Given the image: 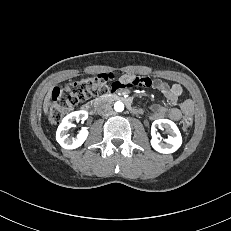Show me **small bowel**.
Masks as SVG:
<instances>
[{"instance_id": "1", "label": "small bowel", "mask_w": 231, "mask_h": 231, "mask_svg": "<svg viewBox=\"0 0 231 231\" xmlns=\"http://www.w3.org/2000/svg\"><path fill=\"white\" fill-rule=\"evenodd\" d=\"M152 85V80L149 77L133 76L131 74H124L119 80H116V89L131 87L149 88ZM153 87L163 93L166 100L173 107L168 108L164 104H153L151 106L150 118L153 120L161 119L168 116L173 121H179L182 115L192 114L194 111V104L192 100L186 99L182 101L179 107H176L178 101L183 93L182 87L179 84H167L160 79L153 82Z\"/></svg>"}]
</instances>
